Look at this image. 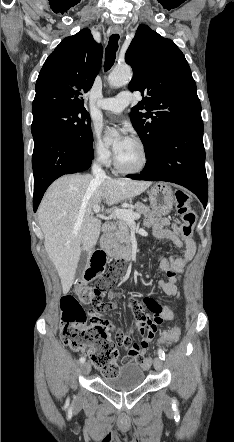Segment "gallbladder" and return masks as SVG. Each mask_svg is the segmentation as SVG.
<instances>
[{"label": "gallbladder", "mask_w": 234, "mask_h": 442, "mask_svg": "<svg viewBox=\"0 0 234 442\" xmlns=\"http://www.w3.org/2000/svg\"><path fill=\"white\" fill-rule=\"evenodd\" d=\"M87 261H88V253L87 252H83L80 256L77 268H76V272H75V278L77 280H80L84 271L87 268Z\"/></svg>", "instance_id": "bac80fb5"}]
</instances>
